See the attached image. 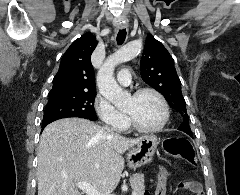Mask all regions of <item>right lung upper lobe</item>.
Returning <instances> with one entry per match:
<instances>
[{
	"instance_id": "obj_1",
	"label": "right lung upper lobe",
	"mask_w": 240,
	"mask_h": 195,
	"mask_svg": "<svg viewBox=\"0 0 240 195\" xmlns=\"http://www.w3.org/2000/svg\"><path fill=\"white\" fill-rule=\"evenodd\" d=\"M95 36L85 33L76 39L62 56L49 95L61 93H96L91 55L97 46Z\"/></svg>"
}]
</instances>
